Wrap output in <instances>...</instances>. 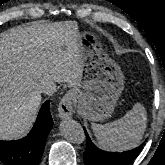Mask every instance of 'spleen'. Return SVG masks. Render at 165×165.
<instances>
[{
    "label": "spleen",
    "instance_id": "spleen-1",
    "mask_svg": "<svg viewBox=\"0 0 165 165\" xmlns=\"http://www.w3.org/2000/svg\"><path fill=\"white\" fill-rule=\"evenodd\" d=\"M146 125V110L140 103H136L122 118L105 125L92 123V129L103 149L125 151L139 144Z\"/></svg>",
    "mask_w": 165,
    "mask_h": 165
}]
</instances>
